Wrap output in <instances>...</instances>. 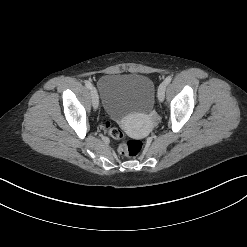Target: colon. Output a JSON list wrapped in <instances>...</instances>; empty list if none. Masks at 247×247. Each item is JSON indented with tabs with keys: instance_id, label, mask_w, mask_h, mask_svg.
<instances>
[{
	"instance_id": "colon-1",
	"label": "colon",
	"mask_w": 247,
	"mask_h": 247,
	"mask_svg": "<svg viewBox=\"0 0 247 247\" xmlns=\"http://www.w3.org/2000/svg\"><path fill=\"white\" fill-rule=\"evenodd\" d=\"M105 126L108 129L110 136L118 141V152L121 155L134 157L141 152L143 148L141 141L126 138L120 129L112 127L109 122H106Z\"/></svg>"
}]
</instances>
